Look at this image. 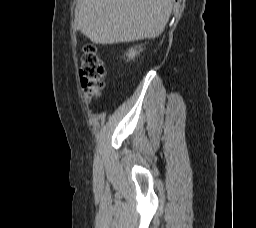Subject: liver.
Wrapping results in <instances>:
<instances>
[{
	"label": "liver",
	"mask_w": 256,
	"mask_h": 228,
	"mask_svg": "<svg viewBox=\"0 0 256 228\" xmlns=\"http://www.w3.org/2000/svg\"><path fill=\"white\" fill-rule=\"evenodd\" d=\"M75 25L96 44L158 37L169 20L173 0H79Z\"/></svg>",
	"instance_id": "6515ba94"
}]
</instances>
